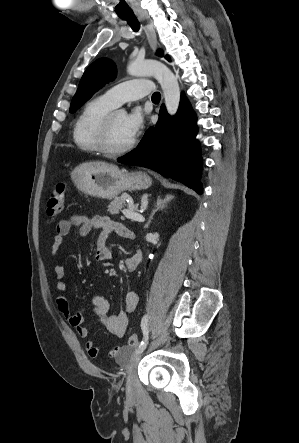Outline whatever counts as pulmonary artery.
I'll return each instance as SVG.
<instances>
[{
    "instance_id": "obj_1",
    "label": "pulmonary artery",
    "mask_w": 299,
    "mask_h": 443,
    "mask_svg": "<svg viewBox=\"0 0 299 443\" xmlns=\"http://www.w3.org/2000/svg\"><path fill=\"white\" fill-rule=\"evenodd\" d=\"M153 83L148 79H133L117 84L104 93V97L119 106L126 101H134L150 94Z\"/></svg>"
}]
</instances>
